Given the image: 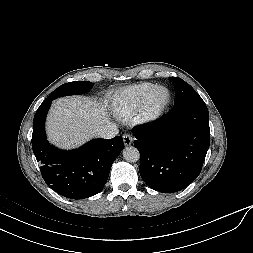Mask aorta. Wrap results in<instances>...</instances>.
<instances>
[{"label": "aorta", "instance_id": "obj_1", "mask_svg": "<svg viewBox=\"0 0 253 253\" xmlns=\"http://www.w3.org/2000/svg\"><path fill=\"white\" fill-rule=\"evenodd\" d=\"M123 158L130 163L137 162L140 159L139 150L134 146L126 147L123 150Z\"/></svg>", "mask_w": 253, "mask_h": 253}]
</instances>
